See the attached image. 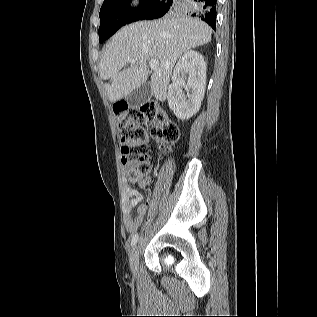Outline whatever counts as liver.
<instances>
[{"mask_svg":"<svg viewBox=\"0 0 317 317\" xmlns=\"http://www.w3.org/2000/svg\"><path fill=\"white\" fill-rule=\"evenodd\" d=\"M212 29L198 18L169 14L155 21H140L121 28L106 46L99 63L109 101L128 97L146 83L147 61L157 59L159 66L151 76V91L159 101L167 98L172 69L177 59L191 48L211 41ZM130 57L134 63L123 69Z\"/></svg>","mask_w":317,"mask_h":317,"instance_id":"1","label":"liver"}]
</instances>
